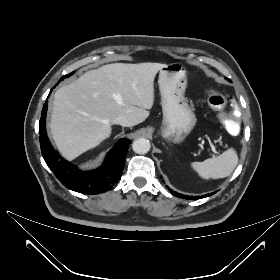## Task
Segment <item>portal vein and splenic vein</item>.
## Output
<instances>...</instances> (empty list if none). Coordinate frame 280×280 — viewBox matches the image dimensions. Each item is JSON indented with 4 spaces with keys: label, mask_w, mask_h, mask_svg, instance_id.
I'll return each mask as SVG.
<instances>
[{
    "label": "portal vein and splenic vein",
    "mask_w": 280,
    "mask_h": 280,
    "mask_svg": "<svg viewBox=\"0 0 280 280\" xmlns=\"http://www.w3.org/2000/svg\"><path fill=\"white\" fill-rule=\"evenodd\" d=\"M209 144H210V146H211V148H212V151L214 152V153H218L216 150H215V147L213 146V144H212V142L209 140Z\"/></svg>",
    "instance_id": "portal-vein-and-splenic-vein-1"
}]
</instances>
